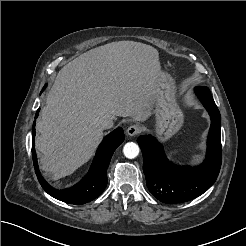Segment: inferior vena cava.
I'll return each mask as SVG.
<instances>
[{
  "label": "inferior vena cava",
  "instance_id": "1",
  "mask_svg": "<svg viewBox=\"0 0 246 246\" xmlns=\"http://www.w3.org/2000/svg\"><path fill=\"white\" fill-rule=\"evenodd\" d=\"M114 119L112 117H106V118H103L101 121H100V125L103 129H110L113 127L114 125Z\"/></svg>",
  "mask_w": 246,
  "mask_h": 246
}]
</instances>
